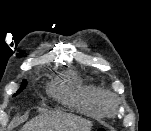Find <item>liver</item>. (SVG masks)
Masks as SVG:
<instances>
[{
  "instance_id": "1",
  "label": "liver",
  "mask_w": 151,
  "mask_h": 131,
  "mask_svg": "<svg viewBox=\"0 0 151 131\" xmlns=\"http://www.w3.org/2000/svg\"><path fill=\"white\" fill-rule=\"evenodd\" d=\"M92 122L70 113L51 112L27 122L21 131H91Z\"/></svg>"
}]
</instances>
